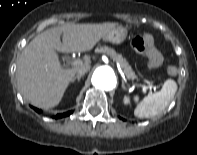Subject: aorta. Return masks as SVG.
I'll use <instances>...</instances> for the list:
<instances>
[{
	"instance_id": "obj_1",
	"label": "aorta",
	"mask_w": 197,
	"mask_h": 155,
	"mask_svg": "<svg viewBox=\"0 0 197 155\" xmlns=\"http://www.w3.org/2000/svg\"><path fill=\"white\" fill-rule=\"evenodd\" d=\"M92 84L102 90H112L117 84L114 70L107 65L99 66L92 75Z\"/></svg>"
}]
</instances>
